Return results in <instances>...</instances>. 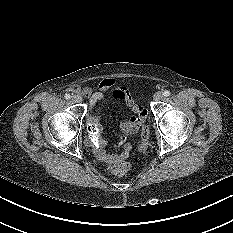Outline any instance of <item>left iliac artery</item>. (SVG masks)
<instances>
[{
    "label": "left iliac artery",
    "instance_id": "1",
    "mask_svg": "<svg viewBox=\"0 0 233 233\" xmlns=\"http://www.w3.org/2000/svg\"><path fill=\"white\" fill-rule=\"evenodd\" d=\"M163 95H164L165 97L169 96V95H170V91L165 90L164 93H163Z\"/></svg>",
    "mask_w": 233,
    "mask_h": 233
}]
</instances>
